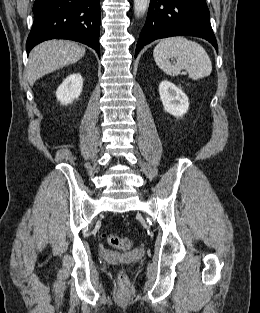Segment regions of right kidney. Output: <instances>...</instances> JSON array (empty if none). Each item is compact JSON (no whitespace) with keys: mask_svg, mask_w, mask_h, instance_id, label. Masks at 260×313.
I'll return each mask as SVG.
<instances>
[{"mask_svg":"<svg viewBox=\"0 0 260 313\" xmlns=\"http://www.w3.org/2000/svg\"><path fill=\"white\" fill-rule=\"evenodd\" d=\"M83 87V78L79 73L71 74L56 91V97L63 105H68L77 99Z\"/></svg>","mask_w":260,"mask_h":313,"instance_id":"ca27d5eb","label":"right kidney"}]
</instances>
